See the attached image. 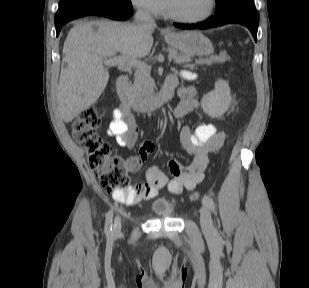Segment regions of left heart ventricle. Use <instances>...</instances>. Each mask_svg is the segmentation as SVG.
<instances>
[{
    "label": "left heart ventricle",
    "mask_w": 309,
    "mask_h": 288,
    "mask_svg": "<svg viewBox=\"0 0 309 288\" xmlns=\"http://www.w3.org/2000/svg\"><path fill=\"white\" fill-rule=\"evenodd\" d=\"M171 9L179 16L196 18L209 9V0H169Z\"/></svg>",
    "instance_id": "b2bd125f"
}]
</instances>
